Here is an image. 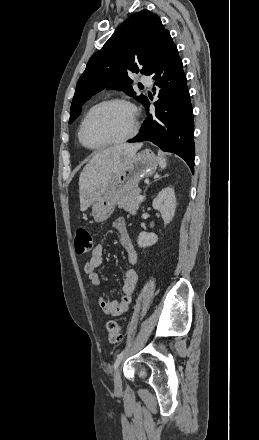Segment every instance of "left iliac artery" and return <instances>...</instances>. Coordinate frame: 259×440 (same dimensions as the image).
<instances>
[{"mask_svg": "<svg viewBox=\"0 0 259 440\" xmlns=\"http://www.w3.org/2000/svg\"><path fill=\"white\" fill-rule=\"evenodd\" d=\"M123 355H124V350L121 351V353L118 355L117 359L115 360V363H114V369L115 370L118 368V366H119V364H120V362H121V360L123 358Z\"/></svg>", "mask_w": 259, "mask_h": 440, "instance_id": "left-iliac-artery-1", "label": "left iliac artery"}]
</instances>
